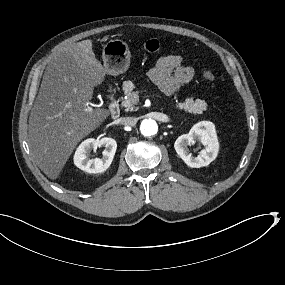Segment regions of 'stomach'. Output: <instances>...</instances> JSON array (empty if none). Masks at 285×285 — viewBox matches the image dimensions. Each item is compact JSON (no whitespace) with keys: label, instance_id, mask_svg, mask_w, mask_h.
<instances>
[{"label":"stomach","instance_id":"0dacf381","mask_svg":"<svg viewBox=\"0 0 285 285\" xmlns=\"http://www.w3.org/2000/svg\"><path fill=\"white\" fill-rule=\"evenodd\" d=\"M130 57L128 45L122 40H110L103 47L104 68L110 75L125 72L130 65Z\"/></svg>","mask_w":285,"mask_h":285}]
</instances>
